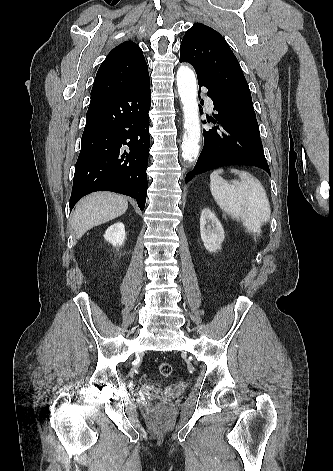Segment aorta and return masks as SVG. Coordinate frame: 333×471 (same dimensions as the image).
<instances>
[{
    "instance_id": "aorta-1",
    "label": "aorta",
    "mask_w": 333,
    "mask_h": 471,
    "mask_svg": "<svg viewBox=\"0 0 333 471\" xmlns=\"http://www.w3.org/2000/svg\"><path fill=\"white\" fill-rule=\"evenodd\" d=\"M176 80L184 112L185 132L182 142V157L186 161L193 162L199 154L201 138L196 78L188 66L182 65L177 71Z\"/></svg>"
}]
</instances>
